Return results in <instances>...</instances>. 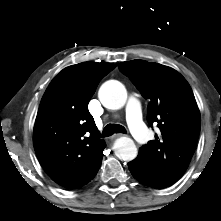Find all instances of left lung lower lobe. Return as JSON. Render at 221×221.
<instances>
[{"instance_id":"left-lung-lower-lobe-1","label":"left lung lower lobe","mask_w":221,"mask_h":221,"mask_svg":"<svg viewBox=\"0 0 221 221\" xmlns=\"http://www.w3.org/2000/svg\"><path fill=\"white\" fill-rule=\"evenodd\" d=\"M129 170L131 171L133 177L137 179L139 182H141L144 185H147L149 187L157 188L152 183L151 179L147 175L146 168L142 161L137 157L135 160L128 163ZM159 189V188H157Z\"/></svg>"}]
</instances>
